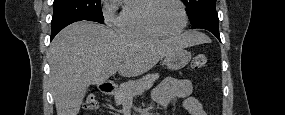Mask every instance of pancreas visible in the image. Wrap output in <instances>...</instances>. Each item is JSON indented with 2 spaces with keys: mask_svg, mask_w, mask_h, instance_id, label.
I'll use <instances>...</instances> for the list:
<instances>
[{
  "mask_svg": "<svg viewBox=\"0 0 285 115\" xmlns=\"http://www.w3.org/2000/svg\"><path fill=\"white\" fill-rule=\"evenodd\" d=\"M159 78V74H147L138 80H131L123 83L114 93L115 102L118 105L124 104L130 97L139 93L140 90H146L153 86V83Z\"/></svg>",
  "mask_w": 285,
  "mask_h": 115,
  "instance_id": "1",
  "label": "pancreas"
}]
</instances>
